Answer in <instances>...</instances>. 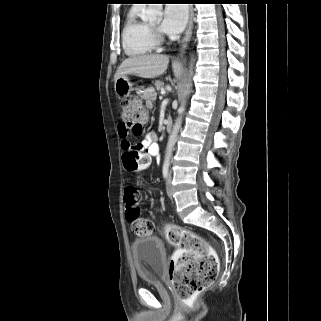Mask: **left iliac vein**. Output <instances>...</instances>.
Masks as SVG:
<instances>
[{"label": "left iliac vein", "instance_id": "1", "mask_svg": "<svg viewBox=\"0 0 321 321\" xmlns=\"http://www.w3.org/2000/svg\"><path fill=\"white\" fill-rule=\"evenodd\" d=\"M171 180H172V172L170 171V173H169V175H168L167 183H166L167 195H168L170 198H172V194H173L172 185H171Z\"/></svg>", "mask_w": 321, "mask_h": 321}]
</instances>
